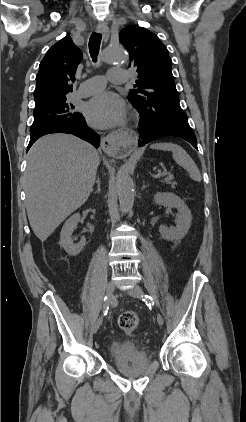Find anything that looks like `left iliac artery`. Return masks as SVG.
<instances>
[{"mask_svg": "<svg viewBox=\"0 0 246 422\" xmlns=\"http://www.w3.org/2000/svg\"><path fill=\"white\" fill-rule=\"evenodd\" d=\"M142 300L147 303L148 305H154V300L149 295H142Z\"/></svg>", "mask_w": 246, "mask_h": 422, "instance_id": "44dca946", "label": "left iliac artery"}]
</instances>
